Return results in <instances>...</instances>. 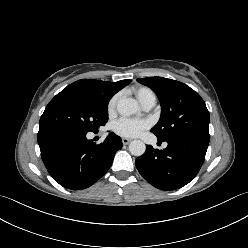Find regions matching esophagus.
Instances as JSON below:
<instances>
[{"label":"esophagus","instance_id":"34e87169","mask_svg":"<svg viewBox=\"0 0 248 248\" xmlns=\"http://www.w3.org/2000/svg\"><path fill=\"white\" fill-rule=\"evenodd\" d=\"M130 141H131V139H129V138H122V142L124 145L129 144Z\"/></svg>","mask_w":248,"mask_h":248}]
</instances>
